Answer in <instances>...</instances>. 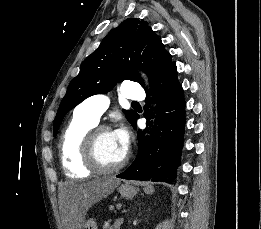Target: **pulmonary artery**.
I'll return each instance as SVG.
<instances>
[{
	"label": "pulmonary artery",
	"mask_w": 261,
	"mask_h": 229,
	"mask_svg": "<svg viewBox=\"0 0 261 229\" xmlns=\"http://www.w3.org/2000/svg\"><path fill=\"white\" fill-rule=\"evenodd\" d=\"M122 89H126L124 96L129 99H145L142 84H122ZM110 105V97L106 94H97L89 97L80 104V109L89 120L98 124L102 114Z\"/></svg>",
	"instance_id": "e3ab8cb5"
}]
</instances>
